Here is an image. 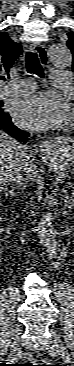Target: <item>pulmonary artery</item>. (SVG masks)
<instances>
[{
	"instance_id": "1",
	"label": "pulmonary artery",
	"mask_w": 74,
	"mask_h": 366,
	"mask_svg": "<svg viewBox=\"0 0 74 366\" xmlns=\"http://www.w3.org/2000/svg\"><path fill=\"white\" fill-rule=\"evenodd\" d=\"M52 85L56 88H66L70 82L71 74L65 70H55L51 74ZM36 89L35 83L31 80L19 79L11 82L6 91L13 95H22L33 92Z\"/></svg>"
}]
</instances>
